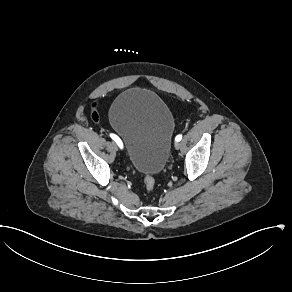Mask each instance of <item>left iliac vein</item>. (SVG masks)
<instances>
[{
  "label": "left iliac vein",
  "instance_id": "1",
  "mask_svg": "<svg viewBox=\"0 0 292 292\" xmlns=\"http://www.w3.org/2000/svg\"><path fill=\"white\" fill-rule=\"evenodd\" d=\"M174 146L176 149H179L181 147V144L179 141H176Z\"/></svg>",
  "mask_w": 292,
  "mask_h": 292
}]
</instances>
